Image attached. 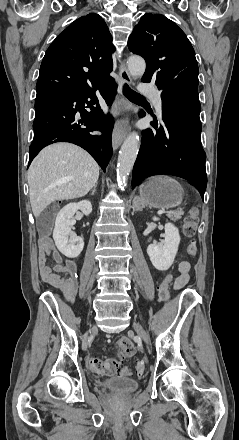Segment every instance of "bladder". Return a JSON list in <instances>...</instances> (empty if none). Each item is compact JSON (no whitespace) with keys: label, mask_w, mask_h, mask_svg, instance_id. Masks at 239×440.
<instances>
[{"label":"bladder","mask_w":239,"mask_h":440,"mask_svg":"<svg viewBox=\"0 0 239 440\" xmlns=\"http://www.w3.org/2000/svg\"><path fill=\"white\" fill-rule=\"evenodd\" d=\"M102 385L107 389L116 390L122 393H132L140 387L138 380L128 377L110 378L103 381Z\"/></svg>","instance_id":"bladder-1"}]
</instances>
